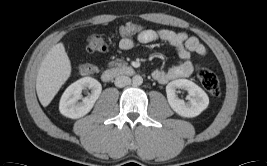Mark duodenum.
Instances as JSON below:
<instances>
[{
    "label": "duodenum",
    "mask_w": 267,
    "mask_h": 166,
    "mask_svg": "<svg viewBox=\"0 0 267 166\" xmlns=\"http://www.w3.org/2000/svg\"><path fill=\"white\" fill-rule=\"evenodd\" d=\"M135 69L129 65H116L103 70L101 78L104 82H109L117 76H134Z\"/></svg>",
    "instance_id": "obj_1"
}]
</instances>
